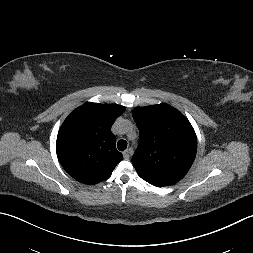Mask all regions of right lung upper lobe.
Returning <instances> with one entry per match:
<instances>
[{
  "label": "right lung upper lobe",
  "instance_id": "obj_1",
  "mask_svg": "<svg viewBox=\"0 0 253 253\" xmlns=\"http://www.w3.org/2000/svg\"><path fill=\"white\" fill-rule=\"evenodd\" d=\"M125 107L87 102L63 122L56 141L59 162L74 179L97 184L123 159L117 151L111 126Z\"/></svg>",
  "mask_w": 253,
  "mask_h": 253
}]
</instances>
